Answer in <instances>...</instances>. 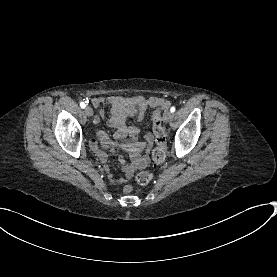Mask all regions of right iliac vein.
<instances>
[{
	"instance_id": "1",
	"label": "right iliac vein",
	"mask_w": 277,
	"mask_h": 277,
	"mask_svg": "<svg viewBox=\"0 0 277 277\" xmlns=\"http://www.w3.org/2000/svg\"><path fill=\"white\" fill-rule=\"evenodd\" d=\"M84 112L88 117H91L93 115V109L90 106H87Z\"/></svg>"
}]
</instances>
